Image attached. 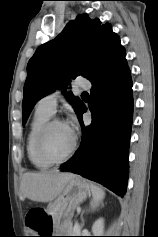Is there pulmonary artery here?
Listing matches in <instances>:
<instances>
[{
    "label": "pulmonary artery",
    "instance_id": "e3ab8cb5",
    "mask_svg": "<svg viewBox=\"0 0 158 237\" xmlns=\"http://www.w3.org/2000/svg\"><path fill=\"white\" fill-rule=\"evenodd\" d=\"M90 86H91L90 82L85 78H78L75 81L76 88L89 89ZM59 98H60L59 90L49 93L48 95L42 97L38 101L37 108L49 114H54L56 111Z\"/></svg>",
    "mask_w": 158,
    "mask_h": 237
}]
</instances>
